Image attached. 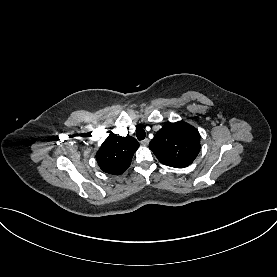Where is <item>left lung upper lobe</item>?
I'll return each instance as SVG.
<instances>
[{"instance_id": "obj_1", "label": "left lung upper lobe", "mask_w": 277, "mask_h": 277, "mask_svg": "<svg viewBox=\"0 0 277 277\" xmlns=\"http://www.w3.org/2000/svg\"><path fill=\"white\" fill-rule=\"evenodd\" d=\"M158 160L171 167L189 166L200 150L197 129L185 122H167L149 144Z\"/></svg>"}]
</instances>
